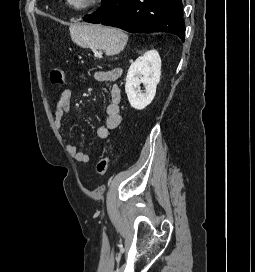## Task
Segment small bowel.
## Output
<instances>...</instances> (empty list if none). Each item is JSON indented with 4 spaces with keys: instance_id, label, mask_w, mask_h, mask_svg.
I'll return each instance as SVG.
<instances>
[{
    "instance_id": "small-bowel-1",
    "label": "small bowel",
    "mask_w": 255,
    "mask_h": 272,
    "mask_svg": "<svg viewBox=\"0 0 255 272\" xmlns=\"http://www.w3.org/2000/svg\"><path fill=\"white\" fill-rule=\"evenodd\" d=\"M122 74L121 68H113L106 71H97L94 73V79L99 82L110 83L118 80ZM73 99V91L65 89L59 96L54 108V123L58 129L62 128L63 120L66 117L71 101ZM121 90L117 85H113L110 89V99L106 107L105 123L97 129V136L101 139L108 138L121 124L120 114ZM69 152L74 159L80 163H88L90 156L88 153L81 151L76 145L68 146Z\"/></svg>"
}]
</instances>
